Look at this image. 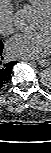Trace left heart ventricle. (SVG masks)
Masks as SVG:
<instances>
[{
  "instance_id": "1",
  "label": "left heart ventricle",
  "mask_w": 51,
  "mask_h": 153,
  "mask_svg": "<svg viewBox=\"0 0 51 153\" xmlns=\"http://www.w3.org/2000/svg\"><path fill=\"white\" fill-rule=\"evenodd\" d=\"M37 29L51 31V18L40 15L37 22Z\"/></svg>"
}]
</instances>
